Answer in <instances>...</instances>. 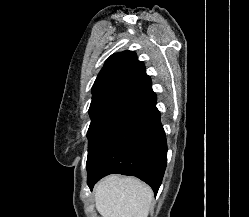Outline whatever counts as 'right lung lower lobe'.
Listing matches in <instances>:
<instances>
[{
  "label": "right lung lower lobe",
  "instance_id": "obj_1",
  "mask_svg": "<svg viewBox=\"0 0 249 217\" xmlns=\"http://www.w3.org/2000/svg\"><path fill=\"white\" fill-rule=\"evenodd\" d=\"M146 76L123 93L105 112L88 146V186L118 173L140 178L155 193L167 161L165 132Z\"/></svg>",
  "mask_w": 249,
  "mask_h": 217
}]
</instances>
